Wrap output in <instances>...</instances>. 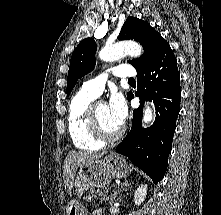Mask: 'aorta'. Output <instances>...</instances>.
Segmentation results:
<instances>
[{"label": "aorta", "mask_w": 221, "mask_h": 215, "mask_svg": "<svg viewBox=\"0 0 221 215\" xmlns=\"http://www.w3.org/2000/svg\"><path fill=\"white\" fill-rule=\"evenodd\" d=\"M143 52L140 44L136 42H119L111 46L104 47L99 52V58L105 62H113L123 58L126 55L139 57ZM154 118V110L151 104L147 103L143 112V126H148Z\"/></svg>", "instance_id": "obj_1"}]
</instances>
